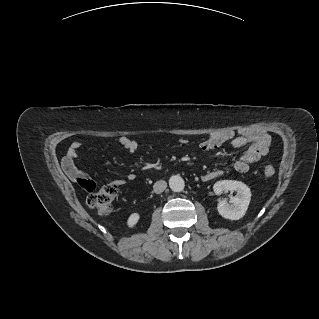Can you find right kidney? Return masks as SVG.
<instances>
[{
  "label": "right kidney",
  "instance_id": "1",
  "mask_svg": "<svg viewBox=\"0 0 319 319\" xmlns=\"http://www.w3.org/2000/svg\"><path fill=\"white\" fill-rule=\"evenodd\" d=\"M139 219H140V215L138 213H132L127 220V225L129 227H134L137 224Z\"/></svg>",
  "mask_w": 319,
  "mask_h": 319
}]
</instances>
